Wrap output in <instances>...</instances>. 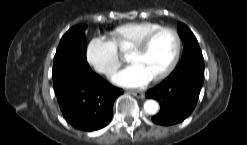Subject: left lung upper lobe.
I'll return each mask as SVG.
<instances>
[{
    "instance_id": "5c2ea615",
    "label": "left lung upper lobe",
    "mask_w": 247,
    "mask_h": 145,
    "mask_svg": "<svg viewBox=\"0 0 247 145\" xmlns=\"http://www.w3.org/2000/svg\"><path fill=\"white\" fill-rule=\"evenodd\" d=\"M178 33L184 45L183 56L179 63L189 60H203L197 39L191 30L185 24L178 23Z\"/></svg>"
}]
</instances>
